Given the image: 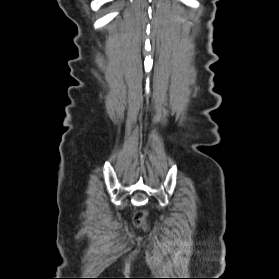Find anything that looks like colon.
Instances as JSON below:
<instances>
[{
    "instance_id": "obj_1",
    "label": "colon",
    "mask_w": 279,
    "mask_h": 279,
    "mask_svg": "<svg viewBox=\"0 0 279 279\" xmlns=\"http://www.w3.org/2000/svg\"><path fill=\"white\" fill-rule=\"evenodd\" d=\"M146 210H138L133 215V222L138 226L141 227L143 230L149 229V221L147 217Z\"/></svg>"
}]
</instances>
